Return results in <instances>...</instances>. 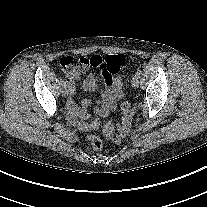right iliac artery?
Returning <instances> with one entry per match:
<instances>
[{
  "instance_id": "1",
  "label": "right iliac artery",
  "mask_w": 207,
  "mask_h": 207,
  "mask_svg": "<svg viewBox=\"0 0 207 207\" xmlns=\"http://www.w3.org/2000/svg\"><path fill=\"white\" fill-rule=\"evenodd\" d=\"M61 84H62L63 86H66V82H65L63 79H61ZM68 87H70V85H68Z\"/></svg>"
}]
</instances>
